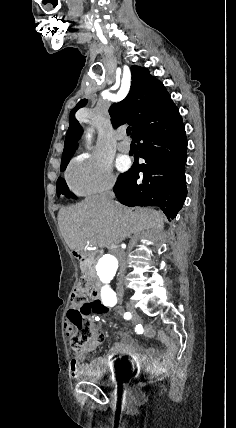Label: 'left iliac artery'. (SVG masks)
<instances>
[{"mask_svg": "<svg viewBox=\"0 0 236 428\" xmlns=\"http://www.w3.org/2000/svg\"><path fill=\"white\" fill-rule=\"evenodd\" d=\"M101 299L105 306L113 307L117 303V297L114 291H101Z\"/></svg>", "mask_w": 236, "mask_h": 428, "instance_id": "left-iliac-artery-1", "label": "left iliac artery"}]
</instances>
